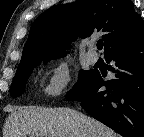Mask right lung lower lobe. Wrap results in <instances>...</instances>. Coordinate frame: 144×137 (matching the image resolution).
Here are the masks:
<instances>
[{"mask_svg":"<svg viewBox=\"0 0 144 137\" xmlns=\"http://www.w3.org/2000/svg\"><path fill=\"white\" fill-rule=\"evenodd\" d=\"M115 79L95 70L76 99L95 119L124 137H144V37L105 55Z\"/></svg>","mask_w":144,"mask_h":137,"instance_id":"98d812e1","label":"right lung lower lobe"}]
</instances>
